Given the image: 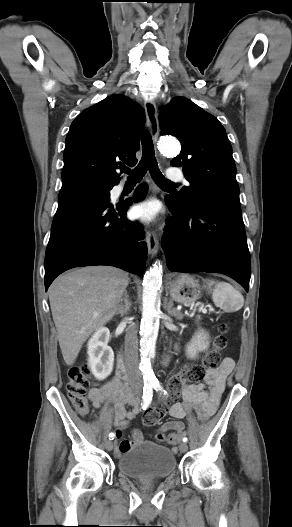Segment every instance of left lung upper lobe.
<instances>
[{
	"mask_svg": "<svg viewBox=\"0 0 292 527\" xmlns=\"http://www.w3.org/2000/svg\"><path fill=\"white\" fill-rule=\"evenodd\" d=\"M161 111V134L177 137L182 146L171 164L182 166L190 183L172 200L184 210L200 203L240 205L232 147L218 119L184 97Z\"/></svg>",
	"mask_w": 292,
	"mask_h": 527,
	"instance_id": "obj_1",
	"label": "left lung upper lobe"
}]
</instances>
